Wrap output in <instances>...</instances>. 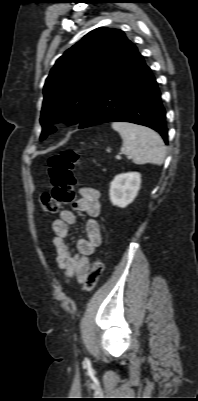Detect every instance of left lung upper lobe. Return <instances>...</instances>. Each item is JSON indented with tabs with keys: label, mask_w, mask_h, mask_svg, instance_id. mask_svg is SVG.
<instances>
[{
	"label": "left lung upper lobe",
	"mask_w": 198,
	"mask_h": 401,
	"mask_svg": "<svg viewBox=\"0 0 198 401\" xmlns=\"http://www.w3.org/2000/svg\"><path fill=\"white\" fill-rule=\"evenodd\" d=\"M134 48L121 30L100 27L68 49L56 61L44 85L40 139L55 132L54 123H79Z\"/></svg>",
	"instance_id": "5c2ea615"
}]
</instances>
